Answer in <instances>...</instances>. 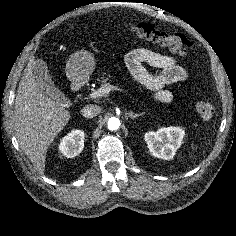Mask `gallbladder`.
<instances>
[{"label": "gallbladder", "instance_id": "bac80fb5", "mask_svg": "<svg viewBox=\"0 0 236 236\" xmlns=\"http://www.w3.org/2000/svg\"><path fill=\"white\" fill-rule=\"evenodd\" d=\"M33 74L43 94L63 103L64 95L51 79L47 64L42 59L35 60Z\"/></svg>", "mask_w": 236, "mask_h": 236}]
</instances>
